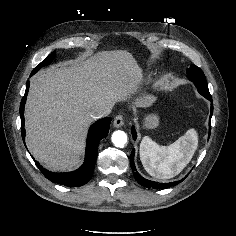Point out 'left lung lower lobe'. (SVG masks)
<instances>
[{"instance_id":"left-lung-lower-lobe-1","label":"left lung lower lobe","mask_w":236,"mask_h":236,"mask_svg":"<svg viewBox=\"0 0 236 236\" xmlns=\"http://www.w3.org/2000/svg\"><path fill=\"white\" fill-rule=\"evenodd\" d=\"M207 99L212 102L211 97H209ZM212 113H213V104L211 103V113H210V118H209V137H210V132H211ZM131 132H132L133 139L135 140L137 135H136V131H135L134 127H132ZM134 153H135V150L133 149L132 152H131V156H130V165H131V168H132V171H133V175H134L135 179L137 180V182L140 185L148 187V188L165 189V188H168V187H171V186H175L178 183L183 181V179H182L180 181H175V182H171V183H159V182H154V181H150V180H147V179L143 178L136 170V167H135V164H134Z\"/></svg>"}]
</instances>
